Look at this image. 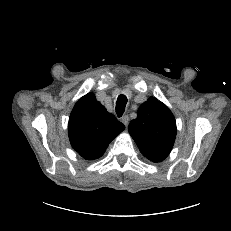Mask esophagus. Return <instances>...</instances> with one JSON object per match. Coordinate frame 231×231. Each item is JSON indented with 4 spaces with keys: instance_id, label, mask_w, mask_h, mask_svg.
I'll list each match as a JSON object with an SVG mask.
<instances>
[{
    "instance_id": "esophagus-1",
    "label": "esophagus",
    "mask_w": 231,
    "mask_h": 231,
    "mask_svg": "<svg viewBox=\"0 0 231 231\" xmlns=\"http://www.w3.org/2000/svg\"><path fill=\"white\" fill-rule=\"evenodd\" d=\"M121 122H122L125 126H127V125H128V122H129V117H128L127 115L123 116V117L121 118Z\"/></svg>"
}]
</instances>
